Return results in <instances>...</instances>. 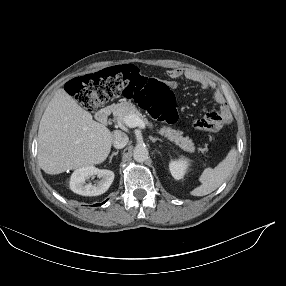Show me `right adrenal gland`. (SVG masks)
<instances>
[{
	"instance_id": "2a0ac1e0",
	"label": "right adrenal gland",
	"mask_w": 286,
	"mask_h": 286,
	"mask_svg": "<svg viewBox=\"0 0 286 286\" xmlns=\"http://www.w3.org/2000/svg\"><path fill=\"white\" fill-rule=\"evenodd\" d=\"M119 151L113 152L110 156L109 162H111L112 158L118 154Z\"/></svg>"
}]
</instances>
